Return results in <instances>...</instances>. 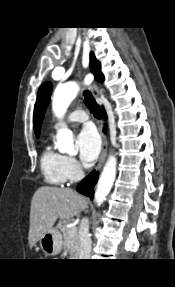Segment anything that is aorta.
Instances as JSON below:
<instances>
[{
    "label": "aorta",
    "instance_id": "obj_1",
    "mask_svg": "<svg viewBox=\"0 0 175 287\" xmlns=\"http://www.w3.org/2000/svg\"><path fill=\"white\" fill-rule=\"evenodd\" d=\"M78 91L79 85L75 82L60 85L55 89L52 99V110L59 119L64 117L69 105L77 96ZM55 145L61 153H76L73 133L66 126L58 130ZM116 166V157L110 155L103 168L95 192V200L98 205L103 203L113 186L116 178Z\"/></svg>",
    "mask_w": 175,
    "mask_h": 287
}]
</instances>
